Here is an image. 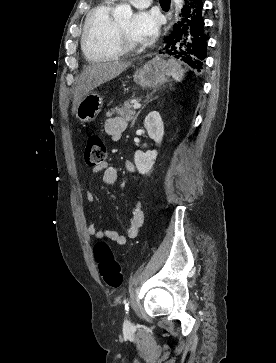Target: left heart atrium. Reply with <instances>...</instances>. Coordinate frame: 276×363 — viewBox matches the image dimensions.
<instances>
[{
	"instance_id": "39dd6f15",
	"label": "left heart atrium",
	"mask_w": 276,
	"mask_h": 363,
	"mask_svg": "<svg viewBox=\"0 0 276 363\" xmlns=\"http://www.w3.org/2000/svg\"><path fill=\"white\" fill-rule=\"evenodd\" d=\"M160 19L153 11H138L132 19V32L141 42L154 39L159 30Z\"/></svg>"
}]
</instances>
